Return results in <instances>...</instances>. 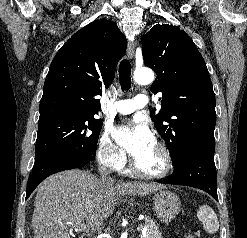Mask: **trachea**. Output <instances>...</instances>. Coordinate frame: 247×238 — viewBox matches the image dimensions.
<instances>
[{"instance_id": "1", "label": "trachea", "mask_w": 247, "mask_h": 238, "mask_svg": "<svg viewBox=\"0 0 247 238\" xmlns=\"http://www.w3.org/2000/svg\"><path fill=\"white\" fill-rule=\"evenodd\" d=\"M119 80L122 90H128L131 87V64L124 59L119 65Z\"/></svg>"}]
</instances>
